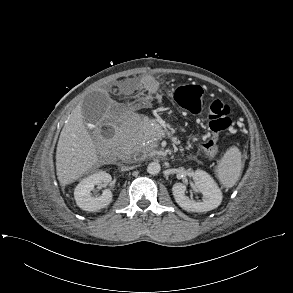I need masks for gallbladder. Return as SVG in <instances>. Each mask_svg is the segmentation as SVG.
<instances>
[{"label":"gallbladder","instance_id":"obj_1","mask_svg":"<svg viewBox=\"0 0 293 293\" xmlns=\"http://www.w3.org/2000/svg\"><path fill=\"white\" fill-rule=\"evenodd\" d=\"M110 99L102 92H91L83 99L81 111L85 123L97 124L107 111Z\"/></svg>","mask_w":293,"mask_h":293}]
</instances>
